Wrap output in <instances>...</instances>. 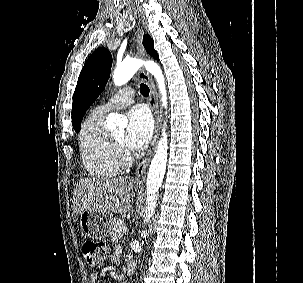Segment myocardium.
<instances>
[{"instance_id": "f54148a6", "label": "myocardium", "mask_w": 303, "mask_h": 283, "mask_svg": "<svg viewBox=\"0 0 303 283\" xmlns=\"http://www.w3.org/2000/svg\"><path fill=\"white\" fill-rule=\"evenodd\" d=\"M111 140L113 142L114 149L121 166L130 165L132 163V157L123 145V143L118 141L114 137H111Z\"/></svg>"}]
</instances>
